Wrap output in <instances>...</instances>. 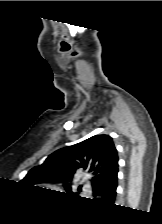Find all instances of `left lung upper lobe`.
Here are the masks:
<instances>
[{"instance_id": "left-lung-upper-lobe-1", "label": "left lung upper lobe", "mask_w": 162, "mask_h": 224, "mask_svg": "<svg viewBox=\"0 0 162 224\" xmlns=\"http://www.w3.org/2000/svg\"><path fill=\"white\" fill-rule=\"evenodd\" d=\"M118 170V155L112 138L95 135L78 144L59 149L45 162L32 168L22 182L27 185L41 182H62L66 193L72 195L69 182L78 171L91 175L92 187H99Z\"/></svg>"}]
</instances>
